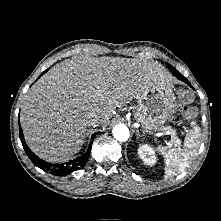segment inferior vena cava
Masks as SVG:
<instances>
[{
	"instance_id": "inferior-vena-cava-1",
	"label": "inferior vena cava",
	"mask_w": 221,
	"mask_h": 221,
	"mask_svg": "<svg viewBox=\"0 0 221 221\" xmlns=\"http://www.w3.org/2000/svg\"><path fill=\"white\" fill-rule=\"evenodd\" d=\"M89 126H99L101 124V121L99 118H92L89 120Z\"/></svg>"
}]
</instances>
